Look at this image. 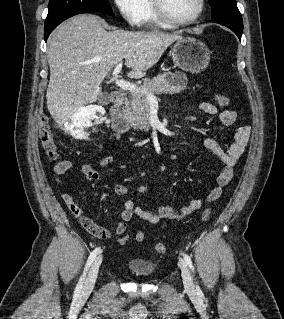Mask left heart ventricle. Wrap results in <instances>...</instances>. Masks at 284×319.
<instances>
[{
  "label": "left heart ventricle",
  "instance_id": "1",
  "mask_svg": "<svg viewBox=\"0 0 284 319\" xmlns=\"http://www.w3.org/2000/svg\"><path fill=\"white\" fill-rule=\"evenodd\" d=\"M168 13L177 19H188L198 10V0H163Z\"/></svg>",
  "mask_w": 284,
  "mask_h": 319
}]
</instances>
